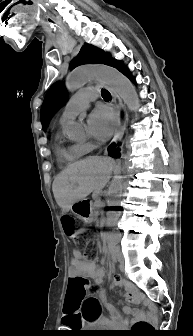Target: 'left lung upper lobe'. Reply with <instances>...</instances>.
<instances>
[{"mask_svg":"<svg viewBox=\"0 0 193 336\" xmlns=\"http://www.w3.org/2000/svg\"><path fill=\"white\" fill-rule=\"evenodd\" d=\"M114 60L115 59H112L97 47L85 44L77 57L71 62V68H75L82 64L98 63L111 66ZM65 98L66 90L61 82H57L50 87L41 107V122L43 129L47 127L51 117L64 104Z\"/></svg>","mask_w":193,"mask_h":336,"instance_id":"obj_1","label":"left lung upper lobe"}]
</instances>
